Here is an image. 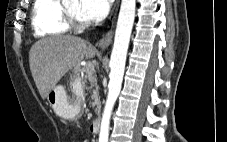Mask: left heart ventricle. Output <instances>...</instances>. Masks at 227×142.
I'll list each match as a JSON object with an SVG mask.
<instances>
[{
  "mask_svg": "<svg viewBox=\"0 0 227 142\" xmlns=\"http://www.w3.org/2000/svg\"><path fill=\"white\" fill-rule=\"evenodd\" d=\"M66 8L74 15H76L77 17H79L82 20H85L79 11V0H72L67 6Z\"/></svg>",
  "mask_w": 227,
  "mask_h": 142,
  "instance_id": "1",
  "label": "left heart ventricle"
}]
</instances>
